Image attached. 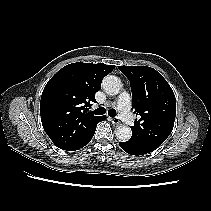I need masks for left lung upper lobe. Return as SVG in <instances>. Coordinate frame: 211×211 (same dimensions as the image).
Listing matches in <instances>:
<instances>
[{
  "label": "left lung upper lobe",
  "instance_id": "left-lung-upper-lobe-1",
  "mask_svg": "<svg viewBox=\"0 0 211 211\" xmlns=\"http://www.w3.org/2000/svg\"><path fill=\"white\" fill-rule=\"evenodd\" d=\"M129 79L132 109L140 116L131 126V139L159 147L170 135L176 117L175 95L155 69L147 66H119Z\"/></svg>",
  "mask_w": 211,
  "mask_h": 211
}]
</instances>
